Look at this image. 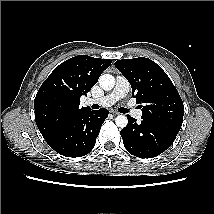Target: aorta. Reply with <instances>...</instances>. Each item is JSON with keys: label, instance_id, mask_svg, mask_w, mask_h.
<instances>
[{"label": "aorta", "instance_id": "762f6f07", "mask_svg": "<svg viewBox=\"0 0 214 214\" xmlns=\"http://www.w3.org/2000/svg\"><path fill=\"white\" fill-rule=\"evenodd\" d=\"M99 85L103 90H111L115 86V78L110 74H103L99 78ZM115 124L120 128H124L128 124V119L124 115H118L115 118Z\"/></svg>", "mask_w": 214, "mask_h": 214}]
</instances>
